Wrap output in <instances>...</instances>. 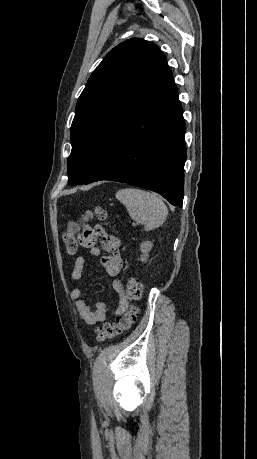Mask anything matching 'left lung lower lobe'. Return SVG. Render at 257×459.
I'll list each match as a JSON object with an SVG mask.
<instances>
[{"label":"left lung lower lobe","instance_id":"left-lung-lower-lobe-1","mask_svg":"<svg viewBox=\"0 0 257 459\" xmlns=\"http://www.w3.org/2000/svg\"><path fill=\"white\" fill-rule=\"evenodd\" d=\"M184 134L178 90L165 62L114 130L109 156L94 181L142 187L182 206Z\"/></svg>","mask_w":257,"mask_h":459}]
</instances>
